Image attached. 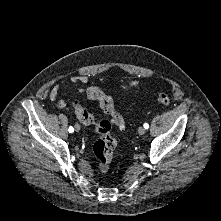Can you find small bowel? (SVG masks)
<instances>
[{
  "label": "small bowel",
  "instance_id": "1",
  "mask_svg": "<svg viewBox=\"0 0 221 221\" xmlns=\"http://www.w3.org/2000/svg\"><path fill=\"white\" fill-rule=\"evenodd\" d=\"M89 81H90V77L88 75H79V76H74V77L70 78L69 83L77 86L78 94H83L84 89L81 85L86 84ZM138 84H139L138 80H130V81L122 84V88L125 90H129L131 88L136 87ZM58 93H59V86H56L52 89L49 98L56 107H62V106H64L65 101L58 99Z\"/></svg>",
  "mask_w": 221,
  "mask_h": 221
}]
</instances>
